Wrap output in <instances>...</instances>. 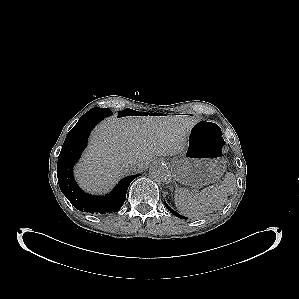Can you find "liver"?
Here are the masks:
<instances>
[{"mask_svg":"<svg viewBox=\"0 0 299 299\" xmlns=\"http://www.w3.org/2000/svg\"><path fill=\"white\" fill-rule=\"evenodd\" d=\"M197 121L184 115L109 118L93 131L75 177L84 190L105 193L122 177L146 168L157 156L182 153Z\"/></svg>","mask_w":299,"mask_h":299,"instance_id":"liver-1","label":"liver"}]
</instances>
